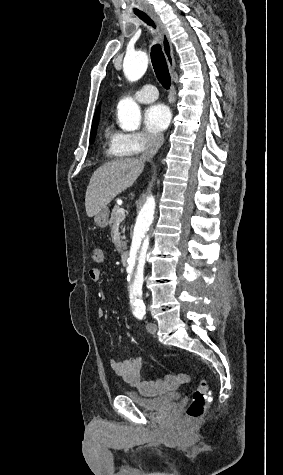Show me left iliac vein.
Instances as JSON below:
<instances>
[{
  "label": "left iliac vein",
  "instance_id": "obj_1",
  "mask_svg": "<svg viewBox=\"0 0 283 475\" xmlns=\"http://www.w3.org/2000/svg\"><path fill=\"white\" fill-rule=\"evenodd\" d=\"M146 329L149 333L155 334L157 332V325L155 323H148Z\"/></svg>",
  "mask_w": 283,
  "mask_h": 475
}]
</instances>
